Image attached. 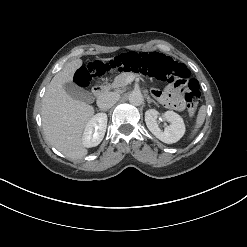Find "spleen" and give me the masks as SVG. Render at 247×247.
<instances>
[{
  "label": "spleen",
  "instance_id": "spleen-1",
  "mask_svg": "<svg viewBox=\"0 0 247 247\" xmlns=\"http://www.w3.org/2000/svg\"><path fill=\"white\" fill-rule=\"evenodd\" d=\"M206 112H207L206 106H201L199 109L196 121H195L194 128L191 132L190 138H193L197 134L201 126L203 125L205 117H206Z\"/></svg>",
  "mask_w": 247,
  "mask_h": 247
}]
</instances>
